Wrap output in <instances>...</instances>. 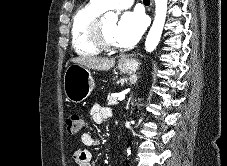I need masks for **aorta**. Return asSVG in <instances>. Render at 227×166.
Returning a JSON list of instances; mask_svg holds the SVG:
<instances>
[{"instance_id":"obj_1","label":"aorta","mask_w":227,"mask_h":166,"mask_svg":"<svg viewBox=\"0 0 227 166\" xmlns=\"http://www.w3.org/2000/svg\"><path fill=\"white\" fill-rule=\"evenodd\" d=\"M167 5V0H155V18L145 42V49L149 53L156 49L160 41L167 14ZM105 18L114 21L118 19L114 12H107ZM127 153L130 155L131 151L128 149Z\"/></svg>"}]
</instances>
